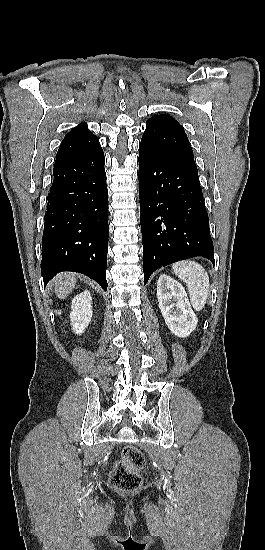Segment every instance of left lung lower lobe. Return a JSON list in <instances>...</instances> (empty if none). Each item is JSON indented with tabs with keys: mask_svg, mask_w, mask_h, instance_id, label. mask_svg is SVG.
Masks as SVG:
<instances>
[{
	"mask_svg": "<svg viewBox=\"0 0 265 550\" xmlns=\"http://www.w3.org/2000/svg\"><path fill=\"white\" fill-rule=\"evenodd\" d=\"M139 149L144 285L176 261L202 256L214 264L198 173L146 145Z\"/></svg>",
	"mask_w": 265,
	"mask_h": 550,
	"instance_id": "obj_1",
	"label": "left lung lower lobe"
}]
</instances>
